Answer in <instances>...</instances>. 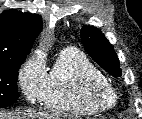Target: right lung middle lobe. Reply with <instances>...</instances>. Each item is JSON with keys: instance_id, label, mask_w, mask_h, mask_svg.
Masks as SVG:
<instances>
[{"instance_id": "right-lung-middle-lobe-1", "label": "right lung middle lobe", "mask_w": 142, "mask_h": 119, "mask_svg": "<svg viewBox=\"0 0 142 119\" xmlns=\"http://www.w3.org/2000/svg\"><path fill=\"white\" fill-rule=\"evenodd\" d=\"M26 56L0 61V108L14 104L19 98L18 70Z\"/></svg>"}]
</instances>
